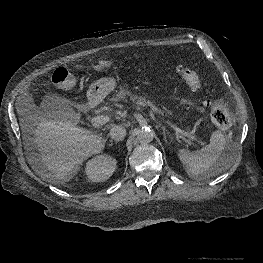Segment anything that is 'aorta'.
<instances>
[{
    "label": "aorta",
    "instance_id": "1",
    "mask_svg": "<svg viewBox=\"0 0 263 263\" xmlns=\"http://www.w3.org/2000/svg\"><path fill=\"white\" fill-rule=\"evenodd\" d=\"M154 131L149 128H141L137 131V139L140 143L146 144L153 140Z\"/></svg>",
    "mask_w": 263,
    "mask_h": 263
}]
</instances>
